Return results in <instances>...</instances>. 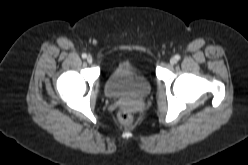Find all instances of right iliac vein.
Returning a JSON list of instances; mask_svg holds the SVG:
<instances>
[{
	"label": "right iliac vein",
	"mask_w": 248,
	"mask_h": 165,
	"mask_svg": "<svg viewBox=\"0 0 248 165\" xmlns=\"http://www.w3.org/2000/svg\"><path fill=\"white\" fill-rule=\"evenodd\" d=\"M86 60H87L88 63H92L93 62V58L90 55L86 58Z\"/></svg>",
	"instance_id": "1"
}]
</instances>
